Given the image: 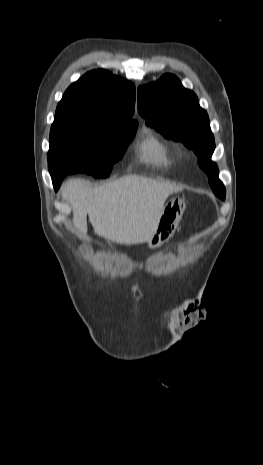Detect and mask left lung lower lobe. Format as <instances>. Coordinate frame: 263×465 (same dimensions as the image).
<instances>
[{
	"instance_id": "0a47b994",
	"label": "left lung lower lobe",
	"mask_w": 263,
	"mask_h": 465,
	"mask_svg": "<svg viewBox=\"0 0 263 465\" xmlns=\"http://www.w3.org/2000/svg\"><path fill=\"white\" fill-rule=\"evenodd\" d=\"M201 168L209 175L216 176L218 175V168L215 163L211 162L210 159L203 160L199 162Z\"/></svg>"
}]
</instances>
